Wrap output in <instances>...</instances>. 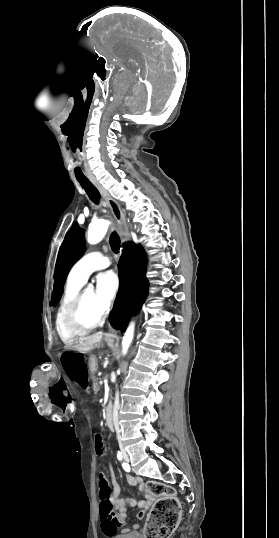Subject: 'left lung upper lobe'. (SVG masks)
<instances>
[{"label": "left lung upper lobe", "instance_id": "5c2ea615", "mask_svg": "<svg viewBox=\"0 0 279 538\" xmlns=\"http://www.w3.org/2000/svg\"><path fill=\"white\" fill-rule=\"evenodd\" d=\"M85 252L84 230L77 222L72 224L71 229L66 234L65 240L60 248L55 271V282L53 291V301L50 305H55L63 294V285L71 267L82 257Z\"/></svg>", "mask_w": 279, "mask_h": 538}]
</instances>
